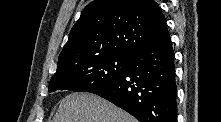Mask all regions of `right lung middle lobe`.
Returning a JSON list of instances; mask_svg holds the SVG:
<instances>
[{
    "label": "right lung middle lobe",
    "mask_w": 221,
    "mask_h": 122,
    "mask_svg": "<svg viewBox=\"0 0 221 122\" xmlns=\"http://www.w3.org/2000/svg\"><path fill=\"white\" fill-rule=\"evenodd\" d=\"M131 58L107 55L73 65L51 78L49 92L57 90L92 92L122 75Z\"/></svg>",
    "instance_id": "right-lung-middle-lobe-1"
}]
</instances>
